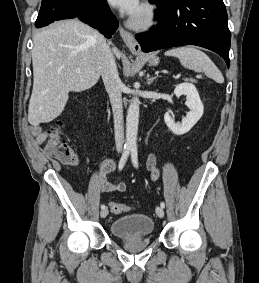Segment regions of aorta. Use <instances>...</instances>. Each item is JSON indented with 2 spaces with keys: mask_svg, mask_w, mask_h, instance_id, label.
Instances as JSON below:
<instances>
[{
  "mask_svg": "<svg viewBox=\"0 0 259 283\" xmlns=\"http://www.w3.org/2000/svg\"><path fill=\"white\" fill-rule=\"evenodd\" d=\"M139 99L134 97L129 105L126 116V144L135 146L137 142L139 121Z\"/></svg>",
  "mask_w": 259,
  "mask_h": 283,
  "instance_id": "aorta-1",
  "label": "aorta"
}]
</instances>
